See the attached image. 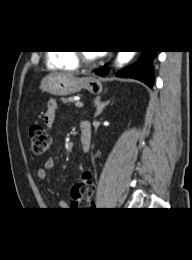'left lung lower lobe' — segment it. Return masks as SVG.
<instances>
[{"label": "left lung lower lobe", "mask_w": 192, "mask_h": 260, "mask_svg": "<svg viewBox=\"0 0 192 260\" xmlns=\"http://www.w3.org/2000/svg\"><path fill=\"white\" fill-rule=\"evenodd\" d=\"M140 59L133 65L116 73L117 77L135 78L144 82L149 87L154 83V71L152 61L157 51H142ZM97 75L104 76L107 74V64L94 71Z\"/></svg>", "instance_id": "0a47b994"}]
</instances>
